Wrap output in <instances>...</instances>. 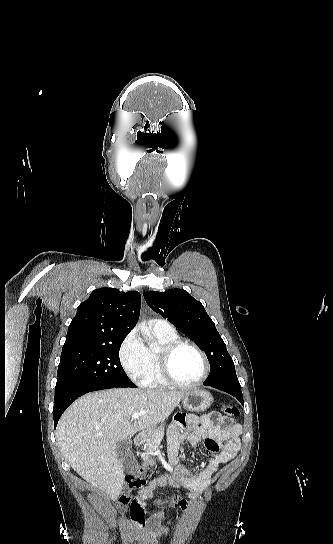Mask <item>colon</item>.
I'll return each mask as SVG.
<instances>
[{"instance_id":"1","label":"colon","mask_w":333,"mask_h":544,"mask_svg":"<svg viewBox=\"0 0 333 544\" xmlns=\"http://www.w3.org/2000/svg\"><path fill=\"white\" fill-rule=\"evenodd\" d=\"M222 413L229 418L237 417L239 410L236 406L231 404H224L221 406ZM147 479L143 477H137L128 475L125 478V484L122 493L118 498V506L120 509L126 508L130 503H133L136 498L133 497V493L136 489L145 486Z\"/></svg>"}]
</instances>
